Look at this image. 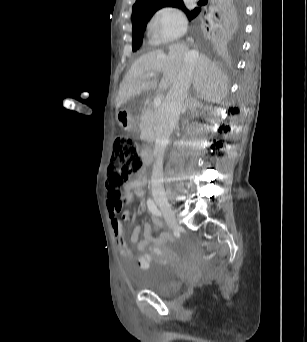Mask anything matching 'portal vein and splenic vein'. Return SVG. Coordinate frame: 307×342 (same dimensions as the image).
<instances>
[{
	"instance_id": "1",
	"label": "portal vein and splenic vein",
	"mask_w": 307,
	"mask_h": 342,
	"mask_svg": "<svg viewBox=\"0 0 307 342\" xmlns=\"http://www.w3.org/2000/svg\"><path fill=\"white\" fill-rule=\"evenodd\" d=\"M147 78H156V74H147ZM163 94H156L155 98L152 99V104L150 105L152 108L158 107L163 101Z\"/></svg>"
}]
</instances>
